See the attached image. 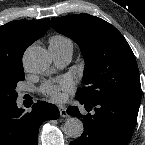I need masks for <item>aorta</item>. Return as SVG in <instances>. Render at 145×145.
Listing matches in <instances>:
<instances>
[{
  "mask_svg": "<svg viewBox=\"0 0 145 145\" xmlns=\"http://www.w3.org/2000/svg\"><path fill=\"white\" fill-rule=\"evenodd\" d=\"M24 66L33 73L45 72L51 65V57L47 50L42 47H30L23 57ZM84 130L83 123L76 117H70L64 124V132L70 137L79 138Z\"/></svg>",
  "mask_w": 145,
  "mask_h": 145,
  "instance_id": "aorta-1",
  "label": "aorta"
}]
</instances>
